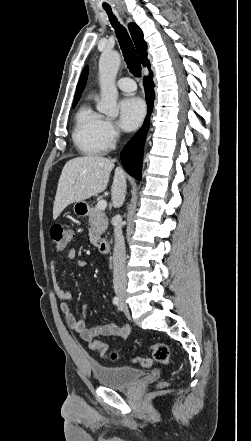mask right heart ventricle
Returning a JSON list of instances; mask_svg holds the SVG:
<instances>
[{
	"instance_id": "obj_1",
	"label": "right heart ventricle",
	"mask_w": 251,
	"mask_h": 441,
	"mask_svg": "<svg viewBox=\"0 0 251 441\" xmlns=\"http://www.w3.org/2000/svg\"><path fill=\"white\" fill-rule=\"evenodd\" d=\"M103 116L85 101L75 114L72 138L77 149L85 155L105 153L111 146L103 133Z\"/></svg>"
}]
</instances>
